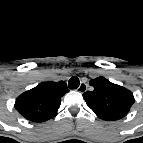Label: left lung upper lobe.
Listing matches in <instances>:
<instances>
[{
	"label": "left lung upper lobe",
	"instance_id": "1",
	"mask_svg": "<svg viewBox=\"0 0 143 143\" xmlns=\"http://www.w3.org/2000/svg\"><path fill=\"white\" fill-rule=\"evenodd\" d=\"M90 85L94 90L85 92L83 98L87 106L102 120L114 121L123 118L135 102L131 91L102 76L92 79Z\"/></svg>",
	"mask_w": 143,
	"mask_h": 143
}]
</instances>
